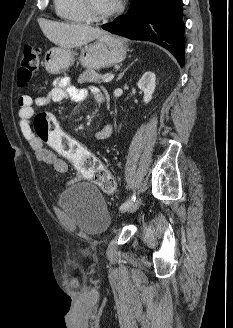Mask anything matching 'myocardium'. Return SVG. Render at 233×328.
Wrapping results in <instances>:
<instances>
[{"instance_id":"1","label":"myocardium","mask_w":233,"mask_h":328,"mask_svg":"<svg viewBox=\"0 0 233 328\" xmlns=\"http://www.w3.org/2000/svg\"><path fill=\"white\" fill-rule=\"evenodd\" d=\"M80 5L85 14L87 21H91V22L106 21L118 15L123 10V3L121 0L118 1L117 5L111 11L103 14L94 13L89 5V0H80Z\"/></svg>"}]
</instances>
